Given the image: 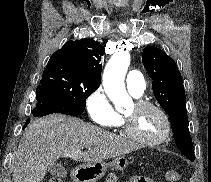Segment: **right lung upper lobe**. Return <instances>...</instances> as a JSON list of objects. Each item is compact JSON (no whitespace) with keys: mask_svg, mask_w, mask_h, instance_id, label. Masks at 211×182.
<instances>
[{"mask_svg":"<svg viewBox=\"0 0 211 182\" xmlns=\"http://www.w3.org/2000/svg\"><path fill=\"white\" fill-rule=\"evenodd\" d=\"M104 53V47L92 39L69 40L53 53L46 68L59 67L80 78L100 84L102 70L100 61Z\"/></svg>","mask_w":211,"mask_h":182,"instance_id":"right-lung-upper-lobe-1","label":"right lung upper lobe"}]
</instances>
